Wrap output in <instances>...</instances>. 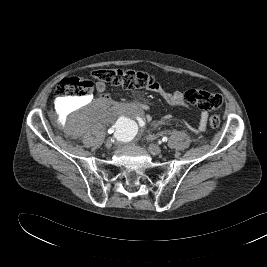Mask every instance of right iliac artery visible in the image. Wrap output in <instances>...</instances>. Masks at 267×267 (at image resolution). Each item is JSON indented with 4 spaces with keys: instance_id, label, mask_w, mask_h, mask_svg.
Instances as JSON below:
<instances>
[{
    "instance_id": "1",
    "label": "right iliac artery",
    "mask_w": 267,
    "mask_h": 267,
    "mask_svg": "<svg viewBox=\"0 0 267 267\" xmlns=\"http://www.w3.org/2000/svg\"><path fill=\"white\" fill-rule=\"evenodd\" d=\"M108 132H109V133H113V132H114V129H113V128H110V129L108 130Z\"/></svg>"
}]
</instances>
